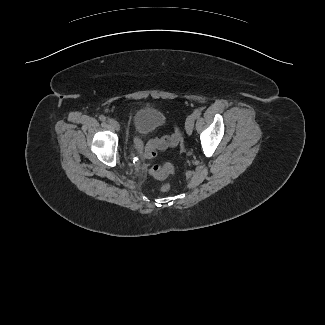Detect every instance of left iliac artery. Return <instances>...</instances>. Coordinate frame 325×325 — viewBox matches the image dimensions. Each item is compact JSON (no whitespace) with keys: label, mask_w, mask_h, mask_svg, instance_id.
Returning <instances> with one entry per match:
<instances>
[{"label":"left iliac artery","mask_w":325,"mask_h":325,"mask_svg":"<svg viewBox=\"0 0 325 325\" xmlns=\"http://www.w3.org/2000/svg\"><path fill=\"white\" fill-rule=\"evenodd\" d=\"M193 115L195 117V119L199 118L201 115V110L200 109H195L193 112Z\"/></svg>","instance_id":"1"}]
</instances>
